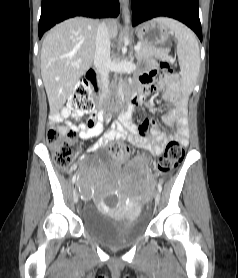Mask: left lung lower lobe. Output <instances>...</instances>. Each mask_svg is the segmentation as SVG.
Masks as SVG:
<instances>
[{
	"label": "left lung lower lobe",
	"instance_id": "obj_1",
	"mask_svg": "<svg viewBox=\"0 0 238 278\" xmlns=\"http://www.w3.org/2000/svg\"><path fill=\"white\" fill-rule=\"evenodd\" d=\"M199 0H132V25L158 16H167L190 27L202 41Z\"/></svg>",
	"mask_w": 238,
	"mask_h": 278
}]
</instances>
